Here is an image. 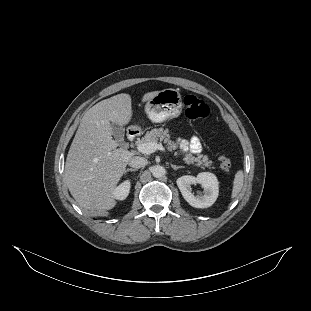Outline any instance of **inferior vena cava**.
I'll list each match as a JSON object with an SVG mask.
<instances>
[{
    "instance_id": "obj_1",
    "label": "inferior vena cava",
    "mask_w": 311,
    "mask_h": 311,
    "mask_svg": "<svg viewBox=\"0 0 311 311\" xmlns=\"http://www.w3.org/2000/svg\"><path fill=\"white\" fill-rule=\"evenodd\" d=\"M148 164V161L144 157L140 156H133L132 158L129 159L128 165L132 168L139 169Z\"/></svg>"
}]
</instances>
